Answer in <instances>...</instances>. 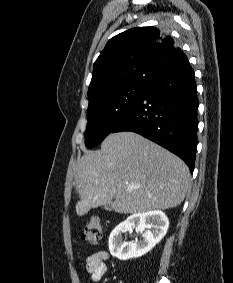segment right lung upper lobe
<instances>
[{
    "label": "right lung upper lobe",
    "instance_id": "1",
    "mask_svg": "<svg viewBox=\"0 0 233 283\" xmlns=\"http://www.w3.org/2000/svg\"><path fill=\"white\" fill-rule=\"evenodd\" d=\"M186 58L178 44L154 27H137L111 38L95 61L89 103L130 84H150Z\"/></svg>",
    "mask_w": 233,
    "mask_h": 283
}]
</instances>
